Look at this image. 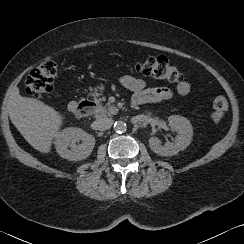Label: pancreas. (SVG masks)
<instances>
[{
  "mask_svg": "<svg viewBox=\"0 0 244 244\" xmlns=\"http://www.w3.org/2000/svg\"><path fill=\"white\" fill-rule=\"evenodd\" d=\"M100 93H97V90L95 91V95H102V88H100ZM105 98L102 97V99L97 100V102L103 101ZM117 111V108L113 105H108V106H99L96 112V117H104L108 115H112Z\"/></svg>",
  "mask_w": 244,
  "mask_h": 244,
  "instance_id": "1",
  "label": "pancreas"
}]
</instances>
